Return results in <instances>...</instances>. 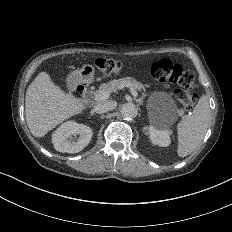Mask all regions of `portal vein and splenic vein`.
Returning a JSON list of instances; mask_svg holds the SVG:
<instances>
[{
  "mask_svg": "<svg viewBox=\"0 0 232 232\" xmlns=\"http://www.w3.org/2000/svg\"><path fill=\"white\" fill-rule=\"evenodd\" d=\"M130 89H131V91H132L133 97H137V96H138L137 92L134 91L132 88H130ZM108 97H109V94H108V93H106V92H101V93L95 94L94 100H95V101H103V100H106Z\"/></svg>",
  "mask_w": 232,
  "mask_h": 232,
  "instance_id": "1",
  "label": "portal vein and splenic vein"
}]
</instances>
